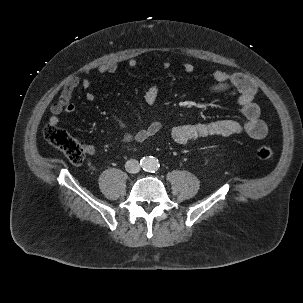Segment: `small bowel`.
Instances as JSON below:
<instances>
[{
	"label": "small bowel",
	"mask_w": 303,
	"mask_h": 303,
	"mask_svg": "<svg viewBox=\"0 0 303 303\" xmlns=\"http://www.w3.org/2000/svg\"><path fill=\"white\" fill-rule=\"evenodd\" d=\"M130 68L137 67V60L131 58L127 62ZM115 62L104 63L99 66L98 72L102 75L113 74L117 71ZM162 68L166 71L170 70L171 63L165 60L162 63ZM183 71L190 74L194 71V66L191 63L183 65ZM215 82L208 87L209 92L213 94H222L226 92H234L237 94V103L241 107L243 118L242 120H219L209 123L183 124L172 129L173 140L180 144L186 145L195 140L211 137L222 136L228 137L238 134H246L253 139H263L267 134V126L260 119V108L255 102L256 85L246 75L242 73H229L224 70H216L213 72ZM91 86V80L85 78H72L65 83L60 93L59 99L50 107L52 116L49 123L58 125L60 122L59 116L63 113H72L75 111L73 103V95L77 88L88 89ZM160 86L158 83L150 85L144 93V101L147 105L153 106L159 96ZM85 99L89 102L95 99L92 92H86ZM112 119L116 125L122 129H127L126 122L117 114L112 112ZM162 128V123L159 120H153L147 127L136 132L128 131L125 135L126 140H135L143 142L148 138L157 134ZM88 154L94 153L92 145H86Z\"/></svg>",
	"instance_id": "c3829d8e"
}]
</instances>
